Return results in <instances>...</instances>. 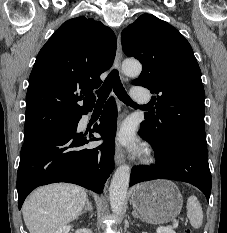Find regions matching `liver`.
Returning <instances> with one entry per match:
<instances>
[{
	"mask_svg": "<svg viewBox=\"0 0 227 233\" xmlns=\"http://www.w3.org/2000/svg\"><path fill=\"white\" fill-rule=\"evenodd\" d=\"M87 200L84 188L56 183L36 189L24 202L22 214L30 233H55L78 218Z\"/></svg>",
	"mask_w": 227,
	"mask_h": 233,
	"instance_id": "6515ba94",
	"label": "liver"
}]
</instances>
